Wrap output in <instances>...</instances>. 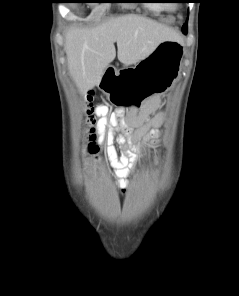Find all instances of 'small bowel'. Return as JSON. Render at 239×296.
<instances>
[{"label":"small bowel","instance_id":"small-bowel-1","mask_svg":"<svg viewBox=\"0 0 239 296\" xmlns=\"http://www.w3.org/2000/svg\"><path fill=\"white\" fill-rule=\"evenodd\" d=\"M159 105V98L148 100L138 112L125 115L122 109L106 116L104 107H96L97 115H104L98 122L97 135L100 143L104 142L105 129L109 125L117 126L120 132L114 134L119 144L121 154L118 156L111 144V139L106 145L107 154L117 179V185L122 193L129 185L128 177L132 174L137 164V152L141 150V143L158 135V128L163 124L165 115L159 112L151 117ZM130 109V108H129ZM134 129L132 133L131 130Z\"/></svg>","mask_w":239,"mask_h":296}]
</instances>
